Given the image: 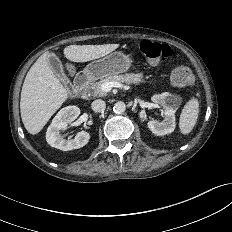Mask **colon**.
I'll list each match as a JSON object with an SVG mask.
<instances>
[{
    "mask_svg": "<svg viewBox=\"0 0 232 232\" xmlns=\"http://www.w3.org/2000/svg\"><path fill=\"white\" fill-rule=\"evenodd\" d=\"M139 50L151 62H158L171 54L167 44L149 40L141 42ZM171 81L177 87H190L194 84V76L186 66H177L171 73Z\"/></svg>",
    "mask_w": 232,
    "mask_h": 232,
    "instance_id": "5ec220e1",
    "label": "colon"
}]
</instances>
